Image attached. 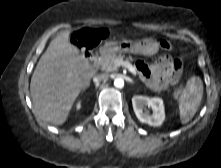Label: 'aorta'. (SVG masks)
<instances>
[{
  "label": "aorta",
  "instance_id": "762f6f07",
  "mask_svg": "<svg viewBox=\"0 0 221 168\" xmlns=\"http://www.w3.org/2000/svg\"><path fill=\"white\" fill-rule=\"evenodd\" d=\"M114 86L117 88H122L124 86V80L122 78H116L114 80Z\"/></svg>",
  "mask_w": 221,
  "mask_h": 168
}]
</instances>
